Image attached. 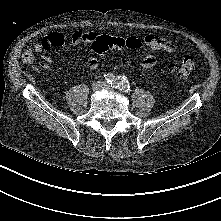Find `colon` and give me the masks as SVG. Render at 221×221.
Listing matches in <instances>:
<instances>
[{"label":"colon","instance_id":"colon-1","mask_svg":"<svg viewBox=\"0 0 221 221\" xmlns=\"http://www.w3.org/2000/svg\"><path fill=\"white\" fill-rule=\"evenodd\" d=\"M142 46L139 38L132 36L128 38L113 37L109 35L98 36L92 43L91 48L97 54L106 53L112 49L128 48L137 50ZM22 60L30 64L34 61V54L31 49H27L22 54ZM173 75L180 78H187L193 75L195 71V61L192 57H184L180 62L171 66Z\"/></svg>","mask_w":221,"mask_h":221}]
</instances>
